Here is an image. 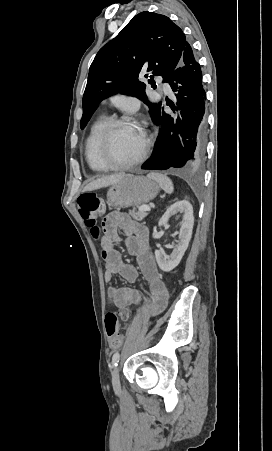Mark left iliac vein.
Listing matches in <instances>:
<instances>
[{
    "label": "left iliac vein",
    "mask_w": 272,
    "mask_h": 451,
    "mask_svg": "<svg viewBox=\"0 0 272 451\" xmlns=\"http://www.w3.org/2000/svg\"><path fill=\"white\" fill-rule=\"evenodd\" d=\"M112 384L114 389L120 388L119 369L116 367L112 372Z\"/></svg>",
    "instance_id": "4c4485c4"
}]
</instances>
